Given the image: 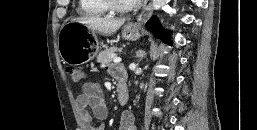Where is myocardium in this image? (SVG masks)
<instances>
[{
    "instance_id": "obj_1",
    "label": "myocardium",
    "mask_w": 257,
    "mask_h": 130,
    "mask_svg": "<svg viewBox=\"0 0 257 130\" xmlns=\"http://www.w3.org/2000/svg\"><path fill=\"white\" fill-rule=\"evenodd\" d=\"M101 2L109 11L118 13L131 12L139 7V2L127 6L119 4L117 0H101Z\"/></svg>"
}]
</instances>
